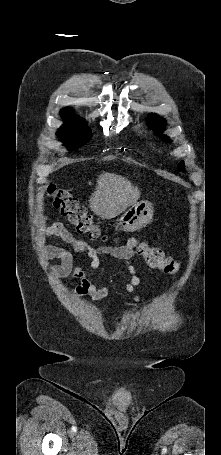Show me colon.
<instances>
[{"mask_svg":"<svg viewBox=\"0 0 221 455\" xmlns=\"http://www.w3.org/2000/svg\"><path fill=\"white\" fill-rule=\"evenodd\" d=\"M47 193L54 208L74 225L80 234L95 240L106 239L99 222L88 213L70 190L50 185ZM128 247L135 250L151 268L168 274H174L179 269V263L175 259L167 256L161 248L151 246L147 241L132 240Z\"/></svg>","mask_w":221,"mask_h":455,"instance_id":"colon-1","label":"colon"}]
</instances>
